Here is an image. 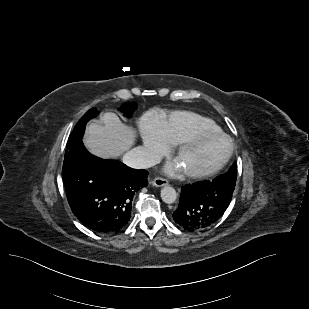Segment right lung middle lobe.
Segmentation results:
<instances>
[{"instance_id": "dd1d6c3e", "label": "right lung middle lobe", "mask_w": 309, "mask_h": 309, "mask_svg": "<svg viewBox=\"0 0 309 309\" xmlns=\"http://www.w3.org/2000/svg\"><path fill=\"white\" fill-rule=\"evenodd\" d=\"M137 108V104L136 103H125L122 105V107L120 108V110L122 112H125L126 114H124L127 117H131V115L133 114L134 110ZM98 115V111L96 110V108H92L89 111H87L85 113V115L80 119V121L76 124L75 128H78L82 125H85L87 123V121H89L92 118H95Z\"/></svg>"}]
</instances>
